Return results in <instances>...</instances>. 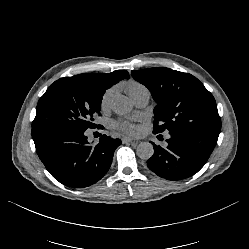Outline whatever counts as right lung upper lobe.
<instances>
[{
	"instance_id": "right-lung-upper-lobe-1",
	"label": "right lung upper lobe",
	"mask_w": 249,
	"mask_h": 249,
	"mask_svg": "<svg viewBox=\"0 0 249 249\" xmlns=\"http://www.w3.org/2000/svg\"><path fill=\"white\" fill-rule=\"evenodd\" d=\"M78 77H84L90 79L96 85L102 87L103 89H108L112 85L118 83L122 79H128L129 74L125 70H118L108 74L104 73H86V74H79L76 75Z\"/></svg>"
}]
</instances>
